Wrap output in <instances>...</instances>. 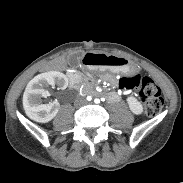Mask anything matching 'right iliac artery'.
I'll list each match as a JSON object with an SVG mask.
<instances>
[{"label": "right iliac artery", "instance_id": "right-iliac-artery-1", "mask_svg": "<svg viewBox=\"0 0 183 183\" xmlns=\"http://www.w3.org/2000/svg\"><path fill=\"white\" fill-rule=\"evenodd\" d=\"M87 100L88 101H91L92 100V97L91 96H87Z\"/></svg>", "mask_w": 183, "mask_h": 183}]
</instances>
